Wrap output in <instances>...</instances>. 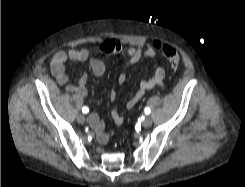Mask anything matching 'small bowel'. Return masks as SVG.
I'll return each instance as SVG.
<instances>
[{
  "label": "small bowel",
  "mask_w": 245,
  "mask_h": 187,
  "mask_svg": "<svg viewBox=\"0 0 245 187\" xmlns=\"http://www.w3.org/2000/svg\"><path fill=\"white\" fill-rule=\"evenodd\" d=\"M164 43L159 41L150 42L146 47H130L126 50V63L123 71L118 76V84L123 85L127 80V70L130 66L138 62L142 58L154 57L158 53V46ZM122 51V46L115 39L108 38L102 41L96 48H82L75 49L69 48L67 50H58L54 53L50 61L51 73L54 76L57 83L64 86V89L76 95L78 98H84L87 95V82L88 74L83 73L76 84H69V78L66 74V62L78 61L88 62L92 73L96 77H102L106 72V66L104 62L98 57L101 55L117 54ZM165 69L163 67H156L152 75L146 79H143L137 92L126 102V108L132 109L143 95L153 88H165ZM110 98L114 100L116 98V92L112 90L110 92ZM111 118L117 126L122 125L124 122L123 113L117 109H112L110 112ZM89 124L94 128L97 136V140L101 144H105L109 140V134L104 131V124L98 115L92 114L89 117Z\"/></svg>",
  "instance_id": "1"
}]
</instances>
